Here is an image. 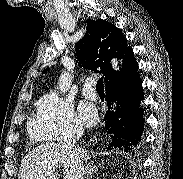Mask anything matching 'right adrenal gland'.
<instances>
[{
	"instance_id": "1",
	"label": "right adrenal gland",
	"mask_w": 183,
	"mask_h": 179,
	"mask_svg": "<svg viewBox=\"0 0 183 179\" xmlns=\"http://www.w3.org/2000/svg\"><path fill=\"white\" fill-rule=\"evenodd\" d=\"M100 166V164H99ZM98 170V166L94 165L93 162L89 163L86 167V177L87 179H91L93 174Z\"/></svg>"
}]
</instances>
